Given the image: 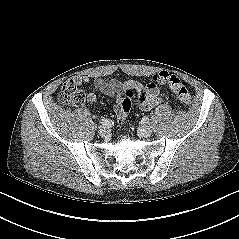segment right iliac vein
Here are the masks:
<instances>
[{
    "mask_svg": "<svg viewBox=\"0 0 239 239\" xmlns=\"http://www.w3.org/2000/svg\"><path fill=\"white\" fill-rule=\"evenodd\" d=\"M98 134H99L100 136H102V137H106V136H108V135L110 134V130H109V128L106 127V126H100V127L98 128Z\"/></svg>",
    "mask_w": 239,
    "mask_h": 239,
    "instance_id": "1",
    "label": "right iliac vein"
}]
</instances>
